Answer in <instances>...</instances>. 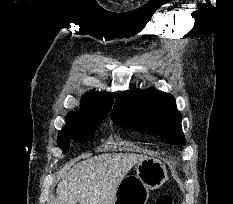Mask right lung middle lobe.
Instances as JSON below:
<instances>
[{
    "label": "right lung middle lobe",
    "mask_w": 233,
    "mask_h": 204,
    "mask_svg": "<svg viewBox=\"0 0 233 204\" xmlns=\"http://www.w3.org/2000/svg\"><path fill=\"white\" fill-rule=\"evenodd\" d=\"M104 116L81 120L64 127L58 135L57 143L63 152H67L70 139L77 141H88L94 138L97 127L101 124Z\"/></svg>",
    "instance_id": "right-lung-middle-lobe-1"
}]
</instances>
